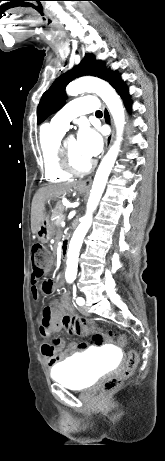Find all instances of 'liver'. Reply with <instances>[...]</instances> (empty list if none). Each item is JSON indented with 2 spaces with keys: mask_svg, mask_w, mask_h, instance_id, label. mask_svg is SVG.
Returning <instances> with one entry per match:
<instances>
[{
  "mask_svg": "<svg viewBox=\"0 0 165 461\" xmlns=\"http://www.w3.org/2000/svg\"><path fill=\"white\" fill-rule=\"evenodd\" d=\"M77 183L48 185L40 188L33 197L31 207V231L36 234L44 217L45 202L51 198H60L76 188Z\"/></svg>",
  "mask_w": 165,
  "mask_h": 461,
  "instance_id": "obj_1",
  "label": "liver"
}]
</instances>
